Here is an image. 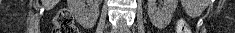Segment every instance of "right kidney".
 <instances>
[{
	"mask_svg": "<svg viewBox=\"0 0 235 33\" xmlns=\"http://www.w3.org/2000/svg\"><path fill=\"white\" fill-rule=\"evenodd\" d=\"M102 0H68L71 13L77 18L84 20L89 18L96 21L99 15V4ZM87 2L88 5L85 3ZM89 6V8H87Z\"/></svg>",
	"mask_w": 235,
	"mask_h": 33,
	"instance_id": "ca27d5eb",
	"label": "right kidney"
}]
</instances>
